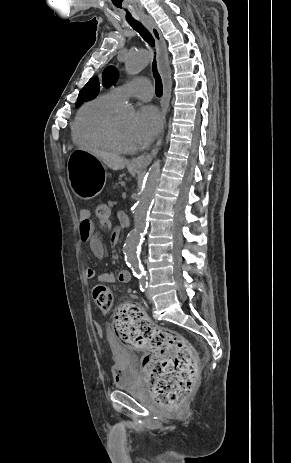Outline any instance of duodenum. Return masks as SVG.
<instances>
[{
  "label": "duodenum",
  "instance_id": "1",
  "mask_svg": "<svg viewBox=\"0 0 291 463\" xmlns=\"http://www.w3.org/2000/svg\"><path fill=\"white\" fill-rule=\"evenodd\" d=\"M126 222H127V221L124 219V220H123V223H126ZM111 239H112V237H111Z\"/></svg>",
  "mask_w": 291,
  "mask_h": 463
}]
</instances>
